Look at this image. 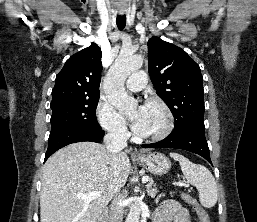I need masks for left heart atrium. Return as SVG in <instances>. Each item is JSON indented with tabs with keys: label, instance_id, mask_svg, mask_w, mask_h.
I'll list each match as a JSON object with an SVG mask.
<instances>
[{
	"label": "left heart atrium",
	"instance_id": "obj_1",
	"mask_svg": "<svg viewBox=\"0 0 257 222\" xmlns=\"http://www.w3.org/2000/svg\"><path fill=\"white\" fill-rule=\"evenodd\" d=\"M147 121V105H140L132 121V129L137 134H144Z\"/></svg>",
	"mask_w": 257,
	"mask_h": 222
}]
</instances>
